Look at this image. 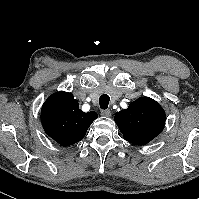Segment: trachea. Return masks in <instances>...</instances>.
<instances>
[{"mask_svg":"<svg viewBox=\"0 0 199 199\" xmlns=\"http://www.w3.org/2000/svg\"><path fill=\"white\" fill-rule=\"evenodd\" d=\"M110 98L107 94H103L99 98V104L101 109H107L109 104Z\"/></svg>","mask_w":199,"mask_h":199,"instance_id":"obj_1","label":"trachea"}]
</instances>
